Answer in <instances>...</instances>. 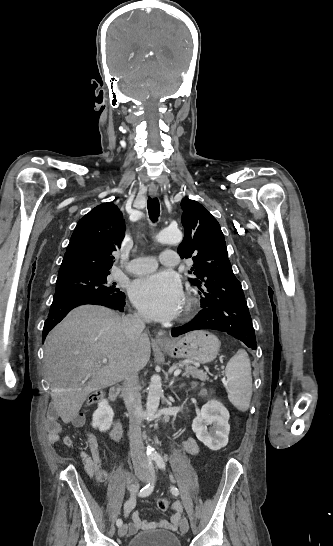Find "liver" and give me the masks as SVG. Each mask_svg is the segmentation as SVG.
Masks as SVG:
<instances>
[{"instance_id": "1", "label": "liver", "mask_w": 333, "mask_h": 546, "mask_svg": "<svg viewBox=\"0 0 333 546\" xmlns=\"http://www.w3.org/2000/svg\"><path fill=\"white\" fill-rule=\"evenodd\" d=\"M150 354L148 336L128 339L116 312L94 305L73 309L44 344L51 397L62 421L74 420L92 391L124 380L132 370H142ZM103 358L108 363L103 364Z\"/></svg>"}]
</instances>
